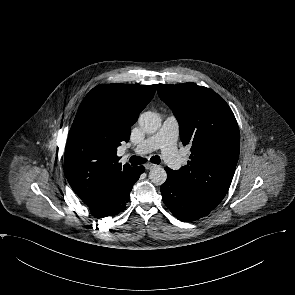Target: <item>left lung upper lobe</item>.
<instances>
[{
	"mask_svg": "<svg viewBox=\"0 0 295 295\" xmlns=\"http://www.w3.org/2000/svg\"><path fill=\"white\" fill-rule=\"evenodd\" d=\"M158 95L179 122L190 161L174 171L176 178L203 206L214 209L226 195L239 157L240 134L224 99L195 83L158 85Z\"/></svg>",
	"mask_w": 295,
	"mask_h": 295,
	"instance_id": "left-lung-upper-lobe-1",
	"label": "left lung upper lobe"
}]
</instances>
